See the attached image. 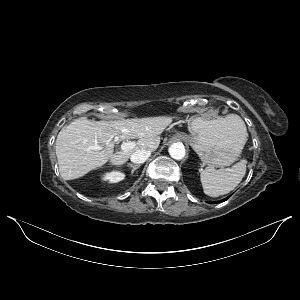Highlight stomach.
<instances>
[{
	"label": "stomach",
	"mask_w": 300,
	"mask_h": 300,
	"mask_svg": "<svg viewBox=\"0 0 300 300\" xmlns=\"http://www.w3.org/2000/svg\"><path fill=\"white\" fill-rule=\"evenodd\" d=\"M189 131V141L202 163L213 168L231 165L245 145L243 134L227 117L213 120L192 117Z\"/></svg>",
	"instance_id": "stomach-1"
}]
</instances>
